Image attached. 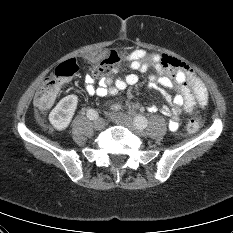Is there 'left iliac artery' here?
<instances>
[{
    "label": "left iliac artery",
    "mask_w": 233,
    "mask_h": 233,
    "mask_svg": "<svg viewBox=\"0 0 233 233\" xmlns=\"http://www.w3.org/2000/svg\"><path fill=\"white\" fill-rule=\"evenodd\" d=\"M134 119H135L134 122H135L136 126L139 127L140 129H144L147 127L148 120L145 117L138 115Z\"/></svg>",
    "instance_id": "44dca946"
}]
</instances>
